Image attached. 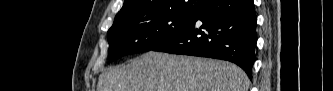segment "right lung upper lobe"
Wrapping results in <instances>:
<instances>
[{
    "mask_svg": "<svg viewBox=\"0 0 333 91\" xmlns=\"http://www.w3.org/2000/svg\"><path fill=\"white\" fill-rule=\"evenodd\" d=\"M203 1L205 0H125L113 24L165 12L197 13L204 7Z\"/></svg>",
    "mask_w": 333,
    "mask_h": 91,
    "instance_id": "right-lung-upper-lobe-1",
    "label": "right lung upper lobe"
}]
</instances>
